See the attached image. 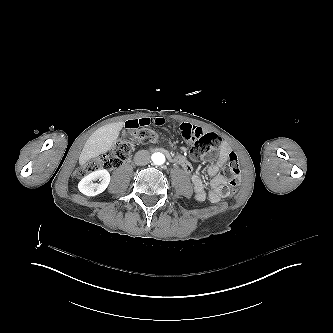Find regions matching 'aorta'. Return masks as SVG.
Listing matches in <instances>:
<instances>
[{
    "label": "aorta",
    "instance_id": "1",
    "mask_svg": "<svg viewBox=\"0 0 333 333\" xmlns=\"http://www.w3.org/2000/svg\"><path fill=\"white\" fill-rule=\"evenodd\" d=\"M151 158L156 165H162L165 162V156L160 152L153 153Z\"/></svg>",
    "mask_w": 333,
    "mask_h": 333
}]
</instances>
